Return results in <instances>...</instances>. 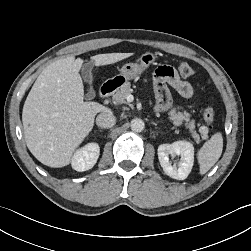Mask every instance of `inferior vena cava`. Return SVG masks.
I'll return each mask as SVG.
<instances>
[{"instance_id":"1","label":"inferior vena cava","mask_w":251,"mask_h":251,"mask_svg":"<svg viewBox=\"0 0 251 251\" xmlns=\"http://www.w3.org/2000/svg\"><path fill=\"white\" fill-rule=\"evenodd\" d=\"M116 123V117L112 112L100 113L96 118V124L100 128H109Z\"/></svg>"}]
</instances>
